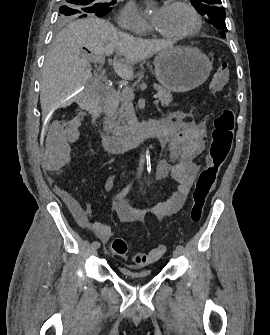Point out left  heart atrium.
<instances>
[{"label": "left heart atrium", "mask_w": 270, "mask_h": 335, "mask_svg": "<svg viewBox=\"0 0 270 335\" xmlns=\"http://www.w3.org/2000/svg\"><path fill=\"white\" fill-rule=\"evenodd\" d=\"M169 8L162 7L154 16L152 22L156 29L161 30Z\"/></svg>", "instance_id": "1"}]
</instances>
